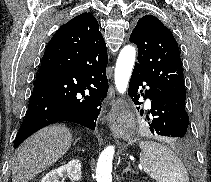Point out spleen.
<instances>
[{"label":"spleen","instance_id":"1","mask_svg":"<svg viewBox=\"0 0 211 182\" xmlns=\"http://www.w3.org/2000/svg\"><path fill=\"white\" fill-rule=\"evenodd\" d=\"M140 149V163L152 179L157 182H189L184 164L167 146L143 141Z\"/></svg>","mask_w":211,"mask_h":182}]
</instances>
